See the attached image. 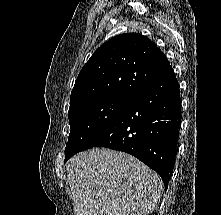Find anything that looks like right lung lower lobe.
Here are the masks:
<instances>
[{
	"mask_svg": "<svg viewBox=\"0 0 221 215\" xmlns=\"http://www.w3.org/2000/svg\"><path fill=\"white\" fill-rule=\"evenodd\" d=\"M181 121L174 70L134 94L111 126L89 147L129 153L155 170L167 187Z\"/></svg>",
	"mask_w": 221,
	"mask_h": 215,
	"instance_id": "obj_1",
	"label": "right lung lower lobe"
}]
</instances>
